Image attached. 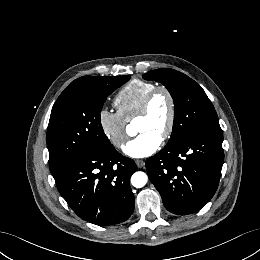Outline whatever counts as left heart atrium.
<instances>
[{"mask_svg": "<svg viewBox=\"0 0 260 260\" xmlns=\"http://www.w3.org/2000/svg\"><path fill=\"white\" fill-rule=\"evenodd\" d=\"M160 145L161 138L150 132H144L127 142L124 152L133 158H144L155 153Z\"/></svg>", "mask_w": 260, "mask_h": 260, "instance_id": "obj_1", "label": "left heart atrium"}]
</instances>
